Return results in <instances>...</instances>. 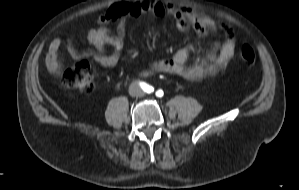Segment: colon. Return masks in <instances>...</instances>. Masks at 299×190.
<instances>
[{
  "instance_id": "5ec220e1",
  "label": "colon",
  "mask_w": 299,
  "mask_h": 190,
  "mask_svg": "<svg viewBox=\"0 0 299 190\" xmlns=\"http://www.w3.org/2000/svg\"><path fill=\"white\" fill-rule=\"evenodd\" d=\"M240 58L245 65H253L255 62L254 50L249 45H243L240 49ZM63 80L67 86L82 93H90L94 89V72L85 60H81L66 69Z\"/></svg>"
}]
</instances>
